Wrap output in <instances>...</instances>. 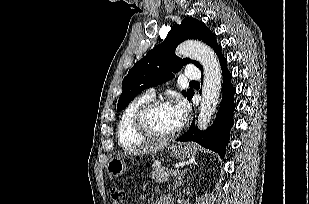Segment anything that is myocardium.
Here are the masks:
<instances>
[{
    "mask_svg": "<svg viewBox=\"0 0 309 204\" xmlns=\"http://www.w3.org/2000/svg\"><path fill=\"white\" fill-rule=\"evenodd\" d=\"M172 105L168 99H150L144 102L135 112L133 117V128L143 138L149 140H165L178 134L182 129L181 123L176 129L159 134L151 130L148 125V116L157 107Z\"/></svg>",
    "mask_w": 309,
    "mask_h": 204,
    "instance_id": "myocardium-1",
    "label": "myocardium"
}]
</instances>
